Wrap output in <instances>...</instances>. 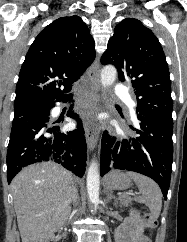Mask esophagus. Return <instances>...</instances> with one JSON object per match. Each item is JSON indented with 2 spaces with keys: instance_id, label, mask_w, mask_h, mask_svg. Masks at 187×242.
<instances>
[{
  "instance_id": "obj_1",
  "label": "esophagus",
  "mask_w": 187,
  "mask_h": 242,
  "mask_svg": "<svg viewBox=\"0 0 187 242\" xmlns=\"http://www.w3.org/2000/svg\"><path fill=\"white\" fill-rule=\"evenodd\" d=\"M100 63L96 60L89 69V82L86 85V93L89 97L93 98V100L99 99V90H100ZM96 109L93 106H89L87 115L84 119V129L87 146L90 150H93L98 142V131L94 123V115Z\"/></svg>"
}]
</instances>
